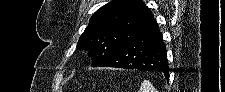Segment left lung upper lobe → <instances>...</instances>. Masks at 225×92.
I'll return each mask as SVG.
<instances>
[{
  "label": "left lung upper lobe",
  "mask_w": 225,
  "mask_h": 92,
  "mask_svg": "<svg viewBox=\"0 0 225 92\" xmlns=\"http://www.w3.org/2000/svg\"><path fill=\"white\" fill-rule=\"evenodd\" d=\"M152 19L153 14L141 0H112L92 15L77 48L89 50L92 67L98 66Z\"/></svg>",
  "instance_id": "left-lung-upper-lobe-1"
}]
</instances>
